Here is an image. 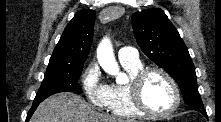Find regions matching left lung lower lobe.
<instances>
[{
	"mask_svg": "<svg viewBox=\"0 0 221 122\" xmlns=\"http://www.w3.org/2000/svg\"><path fill=\"white\" fill-rule=\"evenodd\" d=\"M199 112L202 113L205 117H207V113H206V111L204 109L199 110Z\"/></svg>",
	"mask_w": 221,
	"mask_h": 122,
	"instance_id": "obj_1",
	"label": "left lung lower lobe"
}]
</instances>
